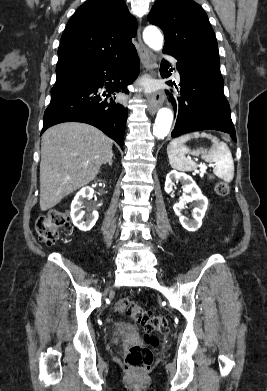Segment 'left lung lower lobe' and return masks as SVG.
Here are the masks:
<instances>
[{"instance_id": "0a47b994", "label": "left lung lower lobe", "mask_w": 267, "mask_h": 391, "mask_svg": "<svg viewBox=\"0 0 267 391\" xmlns=\"http://www.w3.org/2000/svg\"><path fill=\"white\" fill-rule=\"evenodd\" d=\"M165 53L175 57L180 74L179 110L172 138L199 130H218L229 133L236 142V133L231 120L230 106L223 93V78L219 68L185 59L178 53L164 49ZM167 61L162 62L161 76L167 78L170 73ZM173 86L175 82L167 81Z\"/></svg>"}]
</instances>
